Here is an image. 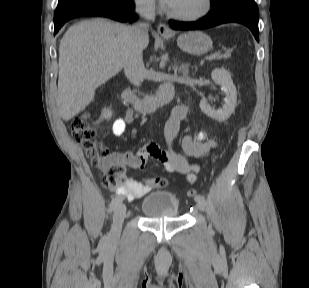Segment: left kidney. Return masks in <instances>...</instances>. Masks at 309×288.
Masks as SVG:
<instances>
[{
    "mask_svg": "<svg viewBox=\"0 0 309 288\" xmlns=\"http://www.w3.org/2000/svg\"><path fill=\"white\" fill-rule=\"evenodd\" d=\"M212 80L221 86L225 92V103L222 109L215 110L206 99L200 101V109L203 113L217 121L227 120L235 110L237 102V90L233 84L230 73L224 68H216L211 73Z\"/></svg>",
    "mask_w": 309,
    "mask_h": 288,
    "instance_id": "obj_1",
    "label": "left kidney"
}]
</instances>
